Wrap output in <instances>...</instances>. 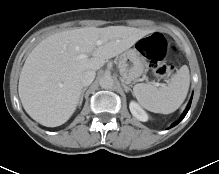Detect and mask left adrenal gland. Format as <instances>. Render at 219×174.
<instances>
[{"label": "left adrenal gland", "instance_id": "1", "mask_svg": "<svg viewBox=\"0 0 219 174\" xmlns=\"http://www.w3.org/2000/svg\"><path fill=\"white\" fill-rule=\"evenodd\" d=\"M124 88H125V91H126V92H129V91H131V92H132L131 88H130V87H128L127 85H125V84H124Z\"/></svg>", "mask_w": 219, "mask_h": 174}]
</instances>
